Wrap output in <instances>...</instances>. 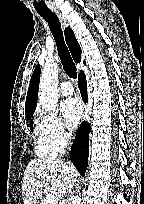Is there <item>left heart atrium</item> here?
I'll return each mask as SVG.
<instances>
[{
    "label": "left heart atrium",
    "mask_w": 144,
    "mask_h": 204,
    "mask_svg": "<svg viewBox=\"0 0 144 204\" xmlns=\"http://www.w3.org/2000/svg\"><path fill=\"white\" fill-rule=\"evenodd\" d=\"M61 111L69 127L75 128L78 126L82 118L83 107L77 98H69L63 101Z\"/></svg>",
    "instance_id": "39dd6f15"
}]
</instances>
